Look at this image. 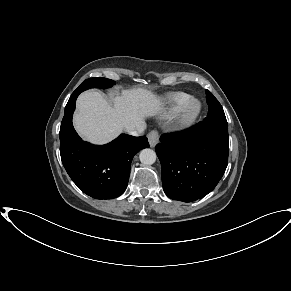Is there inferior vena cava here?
<instances>
[{
    "label": "inferior vena cava",
    "instance_id": "1",
    "mask_svg": "<svg viewBox=\"0 0 291 291\" xmlns=\"http://www.w3.org/2000/svg\"><path fill=\"white\" fill-rule=\"evenodd\" d=\"M145 128H146V124L142 123L140 126L137 127V129L129 130L127 132L132 136H139L144 132Z\"/></svg>",
    "mask_w": 291,
    "mask_h": 291
}]
</instances>
